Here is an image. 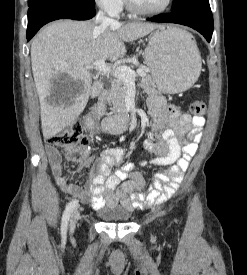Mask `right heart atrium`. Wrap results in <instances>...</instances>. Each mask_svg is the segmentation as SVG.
<instances>
[{"mask_svg": "<svg viewBox=\"0 0 247 275\" xmlns=\"http://www.w3.org/2000/svg\"><path fill=\"white\" fill-rule=\"evenodd\" d=\"M97 6L110 15H117L123 7V0H95Z\"/></svg>", "mask_w": 247, "mask_h": 275, "instance_id": "right-heart-atrium-1", "label": "right heart atrium"}]
</instances>
